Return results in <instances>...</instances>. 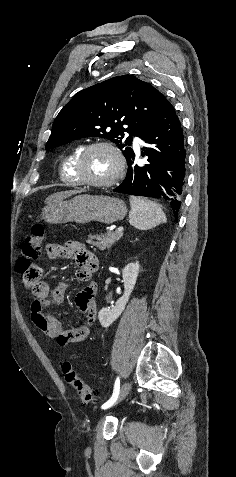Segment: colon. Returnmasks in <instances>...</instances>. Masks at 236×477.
<instances>
[{
	"label": "colon",
	"instance_id": "5ec220e1",
	"mask_svg": "<svg viewBox=\"0 0 236 477\" xmlns=\"http://www.w3.org/2000/svg\"><path fill=\"white\" fill-rule=\"evenodd\" d=\"M45 237V229L41 224H35L32 235L20 245V253L16 262V270L22 275L28 289L34 294L41 287L42 272L39 266L41 243ZM62 371L65 380L77 392L81 402L91 403L95 399L94 392L78 375L69 361H64Z\"/></svg>",
	"mask_w": 236,
	"mask_h": 477
}]
</instances>
